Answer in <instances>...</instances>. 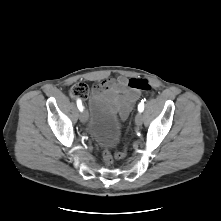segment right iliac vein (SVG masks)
Listing matches in <instances>:
<instances>
[{
  "mask_svg": "<svg viewBox=\"0 0 221 221\" xmlns=\"http://www.w3.org/2000/svg\"><path fill=\"white\" fill-rule=\"evenodd\" d=\"M79 119L82 123H86L88 120V113L86 110H82L79 115Z\"/></svg>",
  "mask_w": 221,
  "mask_h": 221,
  "instance_id": "63e3f726",
  "label": "right iliac vein"
}]
</instances>
